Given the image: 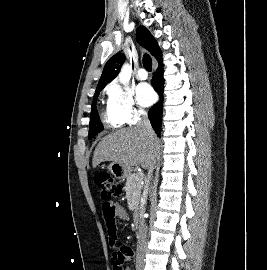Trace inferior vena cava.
Masks as SVG:
<instances>
[{
	"instance_id": "1",
	"label": "inferior vena cava",
	"mask_w": 267,
	"mask_h": 270,
	"mask_svg": "<svg viewBox=\"0 0 267 270\" xmlns=\"http://www.w3.org/2000/svg\"><path fill=\"white\" fill-rule=\"evenodd\" d=\"M138 126L142 128L148 136L150 137L154 136V131L152 129L148 116L145 112L141 113V118L138 123ZM153 165H151V167L149 168L148 178H147L146 185L144 187V191L142 195V204L139 210L140 220H139V234H138L137 256H136L137 265H142L144 262V251L146 249V240H147V226L144 220L145 203H146L148 190H149L148 188L149 181L151 180V176L153 172Z\"/></svg>"
}]
</instances>
